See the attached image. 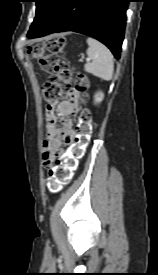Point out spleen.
<instances>
[{
  "instance_id": "1",
  "label": "spleen",
  "mask_w": 158,
  "mask_h": 275,
  "mask_svg": "<svg viewBox=\"0 0 158 275\" xmlns=\"http://www.w3.org/2000/svg\"><path fill=\"white\" fill-rule=\"evenodd\" d=\"M87 43L89 45L87 55L92 61L85 64L86 72L105 81L111 80L114 71L112 53L105 45L96 39L89 37Z\"/></svg>"
}]
</instances>
